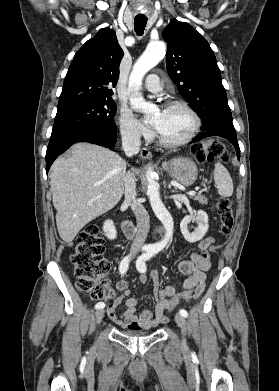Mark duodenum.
<instances>
[{"instance_id":"1","label":"duodenum","mask_w":279,"mask_h":391,"mask_svg":"<svg viewBox=\"0 0 279 391\" xmlns=\"http://www.w3.org/2000/svg\"><path fill=\"white\" fill-rule=\"evenodd\" d=\"M121 228H122L124 234L128 238H132L134 236L135 229H134V226L131 221L123 220L121 223ZM162 230H163V227H161V226L157 227V229H156L157 232L162 231Z\"/></svg>"}]
</instances>
